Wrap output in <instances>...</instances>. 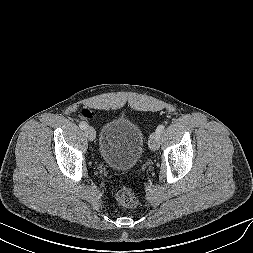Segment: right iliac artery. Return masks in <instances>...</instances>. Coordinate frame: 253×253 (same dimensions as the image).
I'll list each match as a JSON object with an SVG mask.
<instances>
[{
  "mask_svg": "<svg viewBox=\"0 0 253 253\" xmlns=\"http://www.w3.org/2000/svg\"><path fill=\"white\" fill-rule=\"evenodd\" d=\"M79 127H80L82 130H85V129L88 127V125H87L86 122L82 121V122L79 123Z\"/></svg>",
  "mask_w": 253,
  "mask_h": 253,
  "instance_id": "right-iliac-artery-1",
  "label": "right iliac artery"
}]
</instances>
